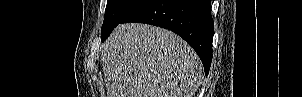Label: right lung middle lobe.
Returning <instances> with one entry per match:
<instances>
[{
	"label": "right lung middle lobe",
	"instance_id": "right-lung-middle-lobe-1",
	"mask_svg": "<svg viewBox=\"0 0 302 97\" xmlns=\"http://www.w3.org/2000/svg\"><path fill=\"white\" fill-rule=\"evenodd\" d=\"M144 0H108L104 22L101 28L102 41L106 40L112 30Z\"/></svg>",
	"mask_w": 302,
	"mask_h": 97
}]
</instances>
